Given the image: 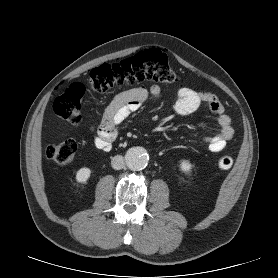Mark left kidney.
<instances>
[{"label": "left kidney", "mask_w": 278, "mask_h": 278, "mask_svg": "<svg viewBox=\"0 0 278 278\" xmlns=\"http://www.w3.org/2000/svg\"><path fill=\"white\" fill-rule=\"evenodd\" d=\"M180 169L186 173V174H190L191 173V169H192V165L189 161L187 160H183L180 163Z\"/></svg>", "instance_id": "left-kidney-1"}]
</instances>
